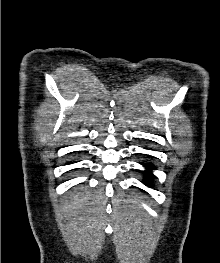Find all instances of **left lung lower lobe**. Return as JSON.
<instances>
[{
    "label": "left lung lower lobe",
    "instance_id": "obj_1",
    "mask_svg": "<svg viewBox=\"0 0 220 263\" xmlns=\"http://www.w3.org/2000/svg\"><path fill=\"white\" fill-rule=\"evenodd\" d=\"M145 167H147L148 169H154L155 168L151 164H145ZM144 174H145V178H146L145 185L150 186L149 181H150V179H152L154 177V175L149 170L144 171Z\"/></svg>",
    "mask_w": 220,
    "mask_h": 263
}]
</instances>
